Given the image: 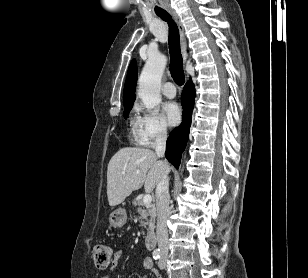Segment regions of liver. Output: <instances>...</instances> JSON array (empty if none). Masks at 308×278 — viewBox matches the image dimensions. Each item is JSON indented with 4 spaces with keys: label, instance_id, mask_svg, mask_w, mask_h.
<instances>
[{
    "label": "liver",
    "instance_id": "liver-1",
    "mask_svg": "<svg viewBox=\"0 0 308 278\" xmlns=\"http://www.w3.org/2000/svg\"><path fill=\"white\" fill-rule=\"evenodd\" d=\"M166 170H170L169 165L158 160L156 153L150 149L137 147L120 149L111 158L107 168L109 205L111 207L119 205L143 184L146 192H152Z\"/></svg>",
    "mask_w": 308,
    "mask_h": 278
}]
</instances>
